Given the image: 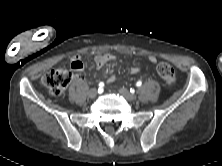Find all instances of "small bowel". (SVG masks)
Wrapping results in <instances>:
<instances>
[{
	"label": "small bowel",
	"instance_id": "c3829d8e",
	"mask_svg": "<svg viewBox=\"0 0 222 166\" xmlns=\"http://www.w3.org/2000/svg\"><path fill=\"white\" fill-rule=\"evenodd\" d=\"M150 59L154 60L153 57H151ZM114 60H115V56L111 53L97 54L94 57V63H95L96 69L98 70L102 69L104 66L113 62ZM70 65L75 71H81L83 69L82 59L78 55H75L71 58ZM139 71L140 69L138 67H132L130 69L131 74H137ZM79 79L83 81L84 77L80 76ZM114 80H115V77L111 76L108 78V83H112L114 82Z\"/></svg>",
	"mask_w": 222,
	"mask_h": 166
}]
</instances>
